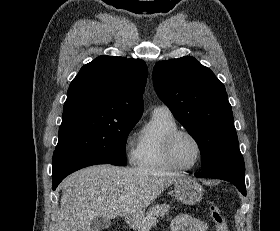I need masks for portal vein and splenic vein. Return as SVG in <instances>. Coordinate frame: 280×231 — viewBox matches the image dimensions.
Returning a JSON list of instances; mask_svg holds the SVG:
<instances>
[{
  "instance_id": "portal-vein-and-splenic-vein-1",
  "label": "portal vein and splenic vein",
  "mask_w": 280,
  "mask_h": 231,
  "mask_svg": "<svg viewBox=\"0 0 280 231\" xmlns=\"http://www.w3.org/2000/svg\"><path fill=\"white\" fill-rule=\"evenodd\" d=\"M119 201H124V199H119Z\"/></svg>"
}]
</instances>
